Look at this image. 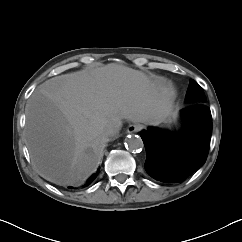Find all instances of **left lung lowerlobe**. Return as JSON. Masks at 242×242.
<instances>
[{
	"label": "left lung lower lobe",
	"instance_id": "0a47b994",
	"mask_svg": "<svg viewBox=\"0 0 242 242\" xmlns=\"http://www.w3.org/2000/svg\"><path fill=\"white\" fill-rule=\"evenodd\" d=\"M184 128L178 134L149 127L141 133L145 169L156 180L182 182L206 161L212 132L210 109L192 104L182 109Z\"/></svg>",
	"mask_w": 242,
	"mask_h": 242
}]
</instances>
